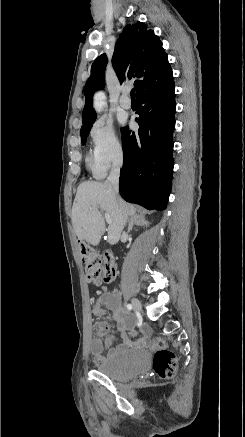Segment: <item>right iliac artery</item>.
<instances>
[{
    "instance_id": "82829eb1",
    "label": "right iliac artery",
    "mask_w": 245,
    "mask_h": 437,
    "mask_svg": "<svg viewBox=\"0 0 245 437\" xmlns=\"http://www.w3.org/2000/svg\"><path fill=\"white\" fill-rule=\"evenodd\" d=\"M126 307H127L128 310H132V308H133L131 304H127Z\"/></svg>"
}]
</instances>
